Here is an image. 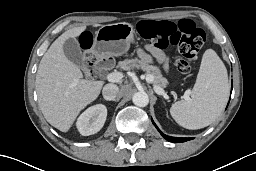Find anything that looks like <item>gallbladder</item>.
<instances>
[{"mask_svg":"<svg viewBox=\"0 0 256 171\" xmlns=\"http://www.w3.org/2000/svg\"><path fill=\"white\" fill-rule=\"evenodd\" d=\"M63 51L65 56L78 68L84 71L87 69L81 48L75 38H69L64 42Z\"/></svg>","mask_w":256,"mask_h":171,"instance_id":"gallbladder-1","label":"gallbladder"}]
</instances>
